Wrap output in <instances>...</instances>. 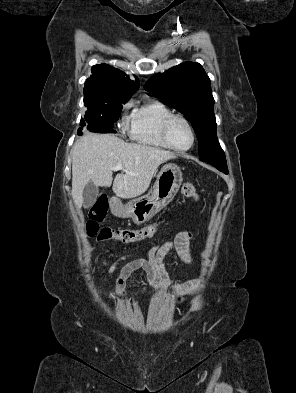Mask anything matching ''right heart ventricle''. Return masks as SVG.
Masks as SVG:
<instances>
[{"mask_svg":"<svg viewBox=\"0 0 296 393\" xmlns=\"http://www.w3.org/2000/svg\"><path fill=\"white\" fill-rule=\"evenodd\" d=\"M172 114L168 106L159 101H147L136 108L131 116V138L143 145L169 149L161 136L164 120Z\"/></svg>","mask_w":296,"mask_h":393,"instance_id":"1","label":"right heart ventricle"}]
</instances>
